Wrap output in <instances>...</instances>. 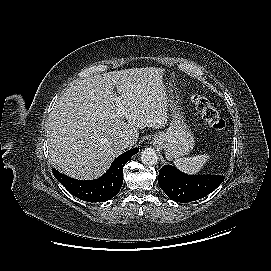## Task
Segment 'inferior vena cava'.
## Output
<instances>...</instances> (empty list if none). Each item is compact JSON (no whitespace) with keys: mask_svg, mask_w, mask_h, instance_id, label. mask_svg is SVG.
I'll use <instances>...</instances> for the list:
<instances>
[{"mask_svg":"<svg viewBox=\"0 0 271 271\" xmlns=\"http://www.w3.org/2000/svg\"><path fill=\"white\" fill-rule=\"evenodd\" d=\"M118 144L122 148H127L130 147L134 144L132 138L128 135H123L121 138L118 140Z\"/></svg>","mask_w":271,"mask_h":271,"instance_id":"1","label":"inferior vena cava"}]
</instances>
